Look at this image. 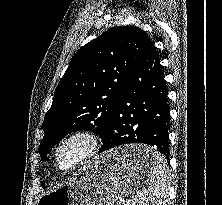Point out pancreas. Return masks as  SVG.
I'll return each instance as SVG.
<instances>
[{"instance_id": "1", "label": "pancreas", "mask_w": 222, "mask_h": 205, "mask_svg": "<svg viewBox=\"0 0 222 205\" xmlns=\"http://www.w3.org/2000/svg\"><path fill=\"white\" fill-rule=\"evenodd\" d=\"M117 205H133V204L127 202H118Z\"/></svg>"}]
</instances>
